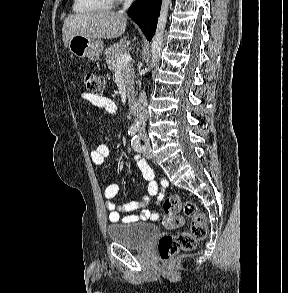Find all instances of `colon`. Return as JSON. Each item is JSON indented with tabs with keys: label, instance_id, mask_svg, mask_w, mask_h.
Returning <instances> with one entry per match:
<instances>
[{
	"label": "colon",
	"instance_id": "5ec220e1",
	"mask_svg": "<svg viewBox=\"0 0 288 293\" xmlns=\"http://www.w3.org/2000/svg\"><path fill=\"white\" fill-rule=\"evenodd\" d=\"M85 86L90 93L100 95L104 91L105 80L98 73L88 72L85 75ZM181 211L191 220V229L178 235H163L159 239L158 253L162 260L170 259L180 250L194 249L207 235L204 213L195 203L185 200L180 195H172L164 200L162 227L170 230L181 226L183 223Z\"/></svg>",
	"mask_w": 288,
	"mask_h": 293
}]
</instances>
